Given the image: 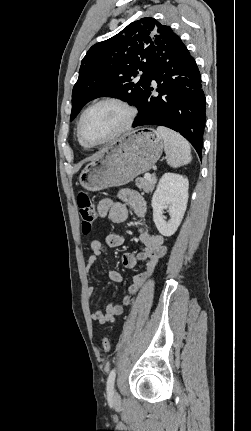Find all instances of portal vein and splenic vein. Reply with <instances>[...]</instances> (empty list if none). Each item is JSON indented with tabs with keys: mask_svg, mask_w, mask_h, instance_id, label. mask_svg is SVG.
<instances>
[{
	"mask_svg": "<svg viewBox=\"0 0 251 431\" xmlns=\"http://www.w3.org/2000/svg\"><path fill=\"white\" fill-rule=\"evenodd\" d=\"M144 178L147 179V180H150L151 179V174H149V173L145 174Z\"/></svg>",
	"mask_w": 251,
	"mask_h": 431,
	"instance_id": "portal-vein-and-splenic-vein-1",
	"label": "portal vein and splenic vein"
}]
</instances>
